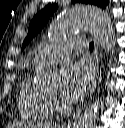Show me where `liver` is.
I'll return each mask as SVG.
<instances>
[{"mask_svg": "<svg viewBox=\"0 0 125 128\" xmlns=\"http://www.w3.org/2000/svg\"><path fill=\"white\" fill-rule=\"evenodd\" d=\"M13 126H14L13 128H33L34 127L32 125H27V124H16Z\"/></svg>", "mask_w": 125, "mask_h": 128, "instance_id": "1", "label": "liver"}]
</instances>
